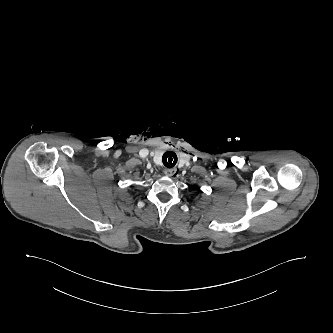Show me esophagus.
<instances>
[{"label":"esophagus","mask_w":333,"mask_h":333,"mask_svg":"<svg viewBox=\"0 0 333 333\" xmlns=\"http://www.w3.org/2000/svg\"><path fill=\"white\" fill-rule=\"evenodd\" d=\"M177 172V169L176 168H166L164 170V173L167 175V176H173L174 174H176Z\"/></svg>","instance_id":"obj_1"}]
</instances>
